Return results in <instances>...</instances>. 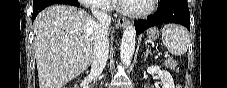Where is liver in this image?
<instances>
[{
    "instance_id": "liver-1",
    "label": "liver",
    "mask_w": 227,
    "mask_h": 88,
    "mask_svg": "<svg viewBox=\"0 0 227 88\" xmlns=\"http://www.w3.org/2000/svg\"><path fill=\"white\" fill-rule=\"evenodd\" d=\"M96 25L71 5H52L38 14L33 30L40 88H62L90 66Z\"/></svg>"
}]
</instances>
